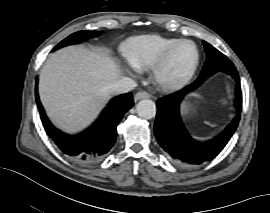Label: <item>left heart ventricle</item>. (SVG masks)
<instances>
[{"instance_id": "b2bd125f", "label": "left heart ventricle", "mask_w": 270, "mask_h": 213, "mask_svg": "<svg viewBox=\"0 0 270 213\" xmlns=\"http://www.w3.org/2000/svg\"><path fill=\"white\" fill-rule=\"evenodd\" d=\"M195 60L194 48L189 43L180 44L172 53L170 60L162 71L161 77L166 81L176 80L185 75Z\"/></svg>"}]
</instances>
